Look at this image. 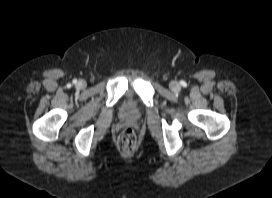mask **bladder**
Listing matches in <instances>:
<instances>
[{"mask_svg":"<svg viewBox=\"0 0 272 198\" xmlns=\"http://www.w3.org/2000/svg\"><path fill=\"white\" fill-rule=\"evenodd\" d=\"M143 115L138 100L133 96H128L121 108V116L125 119H139Z\"/></svg>","mask_w":272,"mask_h":198,"instance_id":"1","label":"bladder"}]
</instances>
